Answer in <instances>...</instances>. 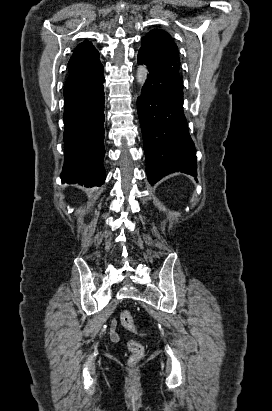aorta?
<instances>
[{"mask_svg": "<svg viewBox=\"0 0 272 411\" xmlns=\"http://www.w3.org/2000/svg\"><path fill=\"white\" fill-rule=\"evenodd\" d=\"M147 76V70L144 65H141L137 69V81L142 85L144 84Z\"/></svg>", "mask_w": 272, "mask_h": 411, "instance_id": "aorta-1", "label": "aorta"}]
</instances>
